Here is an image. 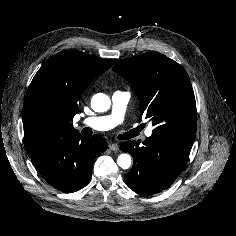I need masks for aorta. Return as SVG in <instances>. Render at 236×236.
<instances>
[{
  "mask_svg": "<svg viewBox=\"0 0 236 236\" xmlns=\"http://www.w3.org/2000/svg\"><path fill=\"white\" fill-rule=\"evenodd\" d=\"M111 101L108 96L100 95L91 101V107L96 112H105L110 108ZM117 163L122 169H128L131 166V157L128 154L118 156Z\"/></svg>",
  "mask_w": 236,
  "mask_h": 236,
  "instance_id": "1",
  "label": "aorta"
}]
</instances>
